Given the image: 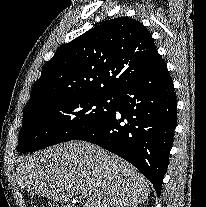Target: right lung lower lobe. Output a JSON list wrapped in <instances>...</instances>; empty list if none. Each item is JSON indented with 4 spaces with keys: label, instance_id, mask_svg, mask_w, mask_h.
Instances as JSON below:
<instances>
[{
    "label": "right lung lower lobe",
    "instance_id": "right-lung-lower-lobe-1",
    "mask_svg": "<svg viewBox=\"0 0 206 207\" xmlns=\"http://www.w3.org/2000/svg\"><path fill=\"white\" fill-rule=\"evenodd\" d=\"M116 99L115 112L77 140L97 144L130 162L159 196L177 117L174 85L161 56Z\"/></svg>",
    "mask_w": 206,
    "mask_h": 207
}]
</instances>
